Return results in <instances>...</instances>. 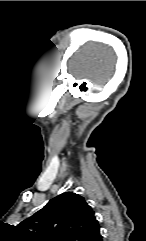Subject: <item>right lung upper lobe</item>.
Returning <instances> with one entry per match:
<instances>
[{"instance_id":"1","label":"right lung upper lobe","mask_w":146,"mask_h":241,"mask_svg":"<svg viewBox=\"0 0 146 241\" xmlns=\"http://www.w3.org/2000/svg\"><path fill=\"white\" fill-rule=\"evenodd\" d=\"M21 225L36 230L28 233L34 241H102L94 211L82 196L73 192L51 199Z\"/></svg>"}]
</instances>
